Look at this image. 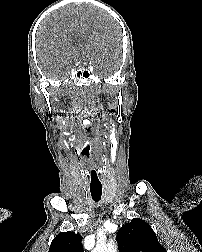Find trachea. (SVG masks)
Segmentation results:
<instances>
[{"label": "trachea", "mask_w": 202, "mask_h": 252, "mask_svg": "<svg viewBox=\"0 0 202 252\" xmlns=\"http://www.w3.org/2000/svg\"><path fill=\"white\" fill-rule=\"evenodd\" d=\"M90 192H91L92 199L95 202H98L101 199L102 188H100V187H90Z\"/></svg>", "instance_id": "3493384b"}]
</instances>
